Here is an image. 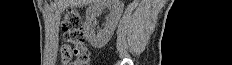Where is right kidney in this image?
<instances>
[{"label": "right kidney", "mask_w": 232, "mask_h": 65, "mask_svg": "<svg viewBox=\"0 0 232 65\" xmlns=\"http://www.w3.org/2000/svg\"><path fill=\"white\" fill-rule=\"evenodd\" d=\"M106 8L109 10V15L104 29L96 34L93 23L97 15L101 14ZM123 8L124 5L121 0H95L88 7L84 24V35L93 47L102 48L109 42L122 15Z\"/></svg>", "instance_id": "ca27d5eb"}]
</instances>
